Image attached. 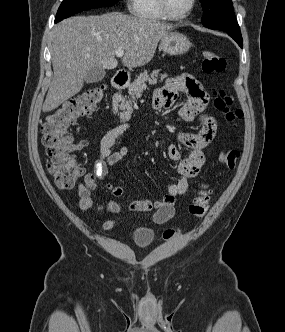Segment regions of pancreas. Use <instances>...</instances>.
Returning <instances> with one entry per match:
<instances>
[{
	"mask_svg": "<svg viewBox=\"0 0 285 332\" xmlns=\"http://www.w3.org/2000/svg\"><path fill=\"white\" fill-rule=\"evenodd\" d=\"M160 70H154L150 75L147 71L142 72L133 83L128 87V93L131 96L129 100L125 99L121 94H116L113 99L114 110H121L120 116L123 119H128L131 117L133 112L132 102L135 98H140L144 90L147 89V84H156ZM167 77L166 74H162L161 81Z\"/></svg>",
	"mask_w": 285,
	"mask_h": 332,
	"instance_id": "cf45deb5",
	"label": "pancreas"
}]
</instances>
